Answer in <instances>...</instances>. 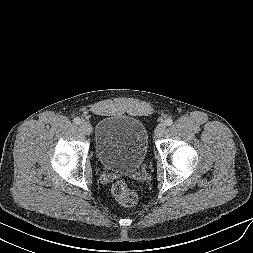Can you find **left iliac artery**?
<instances>
[{"label":"left iliac artery","mask_w":253,"mask_h":253,"mask_svg":"<svg viewBox=\"0 0 253 253\" xmlns=\"http://www.w3.org/2000/svg\"><path fill=\"white\" fill-rule=\"evenodd\" d=\"M165 125L166 126H170L173 124V120L171 118H167L165 121H164Z\"/></svg>","instance_id":"44dca946"}]
</instances>
